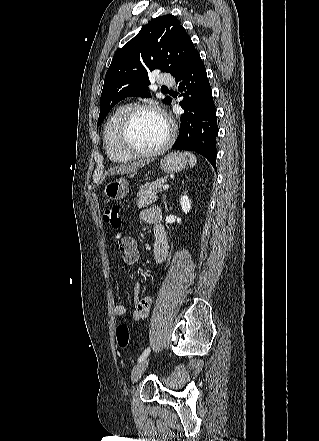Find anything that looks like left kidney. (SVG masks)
I'll list each match as a JSON object with an SVG mask.
<instances>
[{
  "mask_svg": "<svg viewBox=\"0 0 319 441\" xmlns=\"http://www.w3.org/2000/svg\"><path fill=\"white\" fill-rule=\"evenodd\" d=\"M181 207H182V211L187 214L190 210H191V200L189 199V197L187 195H184L181 197V201H180Z\"/></svg>",
  "mask_w": 319,
  "mask_h": 441,
  "instance_id": "obj_1",
  "label": "left kidney"
}]
</instances>
